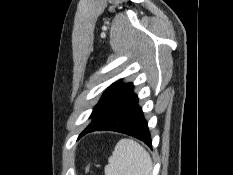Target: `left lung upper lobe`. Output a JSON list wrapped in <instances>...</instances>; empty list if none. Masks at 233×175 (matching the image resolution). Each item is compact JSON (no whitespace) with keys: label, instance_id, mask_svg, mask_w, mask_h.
Returning a JSON list of instances; mask_svg holds the SVG:
<instances>
[{"label":"left lung upper lobe","instance_id":"left-lung-upper-lobe-1","mask_svg":"<svg viewBox=\"0 0 233 175\" xmlns=\"http://www.w3.org/2000/svg\"><path fill=\"white\" fill-rule=\"evenodd\" d=\"M132 86V83L122 84L121 80L113 83L103 94L99 103L94 107L90 116L93 118V121L87 127L101 118L109 110V108Z\"/></svg>","mask_w":233,"mask_h":175}]
</instances>
